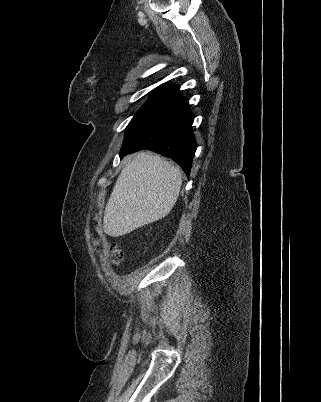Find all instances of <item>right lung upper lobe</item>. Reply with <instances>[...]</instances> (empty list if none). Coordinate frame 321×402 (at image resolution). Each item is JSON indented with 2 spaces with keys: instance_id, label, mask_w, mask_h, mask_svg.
Listing matches in <instances>:
<instances>
[{
  "instance_id": "right-lung-upper-lobe-1",
  "label": "right lung upper lobe",
  "mask_w": 321,
  "mask_h": 402,
  "mask_svg": "<svg viewBox=\"0 0 321 402\" xmlns=\"http://www.w3.org/2000/svg\"><path fill=\"white\" fill-rule=\"evenodd\" d=\"M164 86H169V87H172L171 85H169V84H166V85H164ZM173 88H175V87H173Z\"/></svg>"
}]
</instances>
